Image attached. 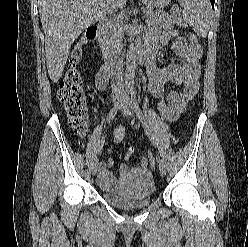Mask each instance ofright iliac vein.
Masks as SVG:
<instances>
[{"label": "right iliac vein", "mask_w": 248, "mask_h": 247, "mask_svg": "<svg viewBox=\"0 0 248 247\" xmlns=\"http://www.w3.org/2000/svg\"><path fill=\"white\" fill-rule=\"evenodd\" d=\"M119 102H120V96H115L112 98V103L114 105L119 104ZM98 171H99V159L96 158L92 166V175L93 176L97 175Z\"/></svg>", "instance_id": "obj_1"}]
</instances>
